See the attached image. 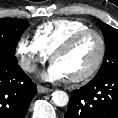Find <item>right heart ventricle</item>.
<instances>
[{
    "label": "right heart ventricle",
    "instance_id": "obj_1",
    "mask_svg": "<svg viewBox=\"0 0 118 118\" xmlns=\"http://www.w3.org/2000/svg\"><path fill=\"white\" fill-rule=\"evenodd\" d=\"M87 28L88 24L79 19H56L39 25L34 38L43 50L51 55L68 38Z\"/></svg>",
    "mask_w": 118,
    "mask_h": 118
}]
</instances>
